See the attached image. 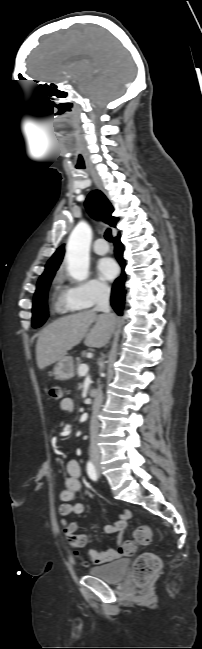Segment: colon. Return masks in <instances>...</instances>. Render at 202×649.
I'll return each mask as SVG.
<instances>
[{
	"label": "colon",
	"mask_w": 202,
	"mask_h": 649,
	"mask_svg": "<svg viewBox=\"0 0 202 649\" xmlns=\"http://www.w3.org/2000/svg\"><path fill=\"white\" fill-rule=\"evenodd\" d=\"M48 398L60 400L62 390L58 385H48L45 388ZM151 540V529L148 525H139L133 532L132 539L123 543L122 552L124 555H131L135 552L137 545H146ZM161 569V560L152 553L140 555L134 563L131 579L138 585L143 586L152 580Z\"/></svg>",
	"instance_id": "obj_1"
}]
</instances>
